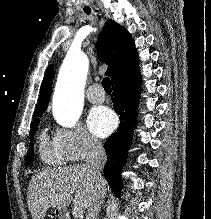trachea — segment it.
<instances>
[{
	"instance_id": "3493384b",
	"label": "trachea",
	"mask_w": 211,
	"mask_h": 219,
	"mask_svg": "<svg viewBox=\"0 0 211 219\" xmlns=\"http://www.w3.org/2000/svg\"><path fill=\"white\" fill-rule=\"evenodd\" d=\"M84 11L89 14L90 13V8L89 7H85L84 8ZM102 86L104 88V90L106 92H111L112 91V88H111V83H110V78L108 77H105L103 80H102Z\"/></svg>"
}]
</instances>
